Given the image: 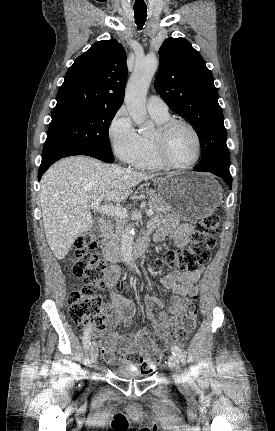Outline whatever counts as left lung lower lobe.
I'll use <instances>...</instances> for the list:
<instances>
[{
    "instance_id": "left-lung-lower-lobe-1",
    "label": "left lung lower lobe",
    "mask_w": 275,
    "mask_h": 431,
    "mask_svg": "<svg viewBox=\"0 0 275 431\" xmlns=\"http://www.w3.org/2000/svg\"><path fill=\"white\" fill-rule=\"evenodd\" d=\"M194 169L196 171L210 172V173H213V174L219 176L220 178H222L226 182V184L231 189L232 177H231V174L229 171H221V170H213V169H205V168H197V167H194Z\"/></svg>"
}]
</instances>
